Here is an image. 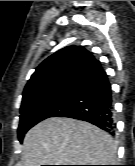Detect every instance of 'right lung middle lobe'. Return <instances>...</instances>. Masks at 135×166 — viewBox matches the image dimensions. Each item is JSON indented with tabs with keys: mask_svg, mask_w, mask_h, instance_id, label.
<instances>
[{
	"mask_svg": "<svg viewBox=\"0 0 135 166\" xmlns=\"http://www.w3.org/2000/svg\"><path fill=\"white\" fill-rule=\"evenodd\" d=\"M71 99V88L68 85L23 103L20 108L19 141L22 142L25 133L38 122L49 117H55L58 113L65 110Z\"/></svg>",
	"mask_w": 135,
	"mask_h": 166,
	"instance_id": "dd1d6c3e",
	"label": "right lung middle lobe"
}]
</instances>
